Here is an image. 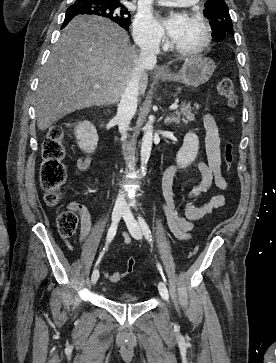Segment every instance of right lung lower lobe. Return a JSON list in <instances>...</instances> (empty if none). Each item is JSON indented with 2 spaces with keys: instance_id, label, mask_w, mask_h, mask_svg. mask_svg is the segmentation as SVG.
I'll use <instances>...</instances> for the list:
<instances>
[{
  "instance_id": "1",
  "label": "right lung lower lobe",
  "mask_w": 276,
  "mask_h": 363,
  "mask_svg": "<svg viewBox=\"0 0 276 363\" xmlns=\"http://www.w3.org/2000/svg\"><path fill=\"white\" fill-rule=\"evenodd\" d=\"M75 16H76V15H75ZM75 16H65V20H64V22H63L62 28H63V27H65V26L69 23V21H71V19H72L73 17H75Z\"/></svg>"
}]
</instances>
